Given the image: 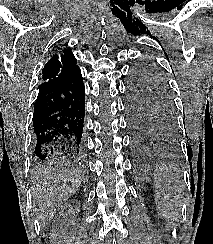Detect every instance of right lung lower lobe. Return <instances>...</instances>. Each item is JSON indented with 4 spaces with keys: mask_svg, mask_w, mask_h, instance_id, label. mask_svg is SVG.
I'll return each mask as SVG.
<instances>
[{
    "mask_svg": "<svg viewBox=\"0 0 213 244\" xmlns=\"http://www.w3.org/2000/svg\"><path fill=\"white\" fill-rule=\"evenodd\" d=\"M38 88L33 115L35 155L41 160L81 161L85 89L80 69Z\"/></svg>",
    "mask_w": 213,
    "mask_h": 244,
    "instance_id": "right-lung-lower-lobe-1",
    "label": "right lung lower lobe"
}]
</instances>
